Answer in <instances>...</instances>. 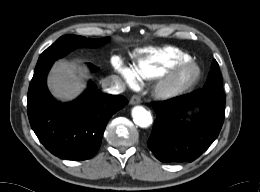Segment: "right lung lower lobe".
Here are the masks:
<instances>
[{"mask_svg":"<svg viewBox=\"0 0 260 192\" xmlns=\"http://www.w3.org/2000/svg\"><path fill=\"white\" fill-rule=\"evenodd\" d=\"M53 62L34 71L28 91L27 111L32 129L40 142L55 156L86 160L98 151L105 127L112 115L127 104L121 95L104 94L89 83L75 101H55L46 86ZM92 71L97 67L90 64Z\"/></svg>","mask_w":260,"mask_h":192,"instance_id":"obj_1","label":"right lung lower lobe"}]
</instances>
